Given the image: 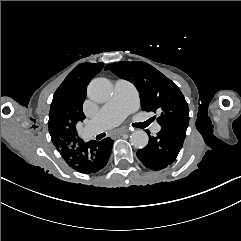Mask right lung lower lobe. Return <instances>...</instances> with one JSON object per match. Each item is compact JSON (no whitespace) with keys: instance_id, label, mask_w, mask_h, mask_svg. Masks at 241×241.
Listing matches in <instances>:
<instances>
[{"instance_id":"1","label":"right lung lower lobe","mask_w":241,"mask_h":241,"mask_svg":"<svg viewBox=\"0 0 241 241\" xmlns=\"http://www.w3.org/2000/svg\"><path fill=\"white\" fill-rule=\"evenodd\" d=\"M113 140L105 138L102 141L84 142L79 139L71 144L58 148L66 163L80 173H96L107 164L111 155Z\"/></svg>"}]
</instances>
